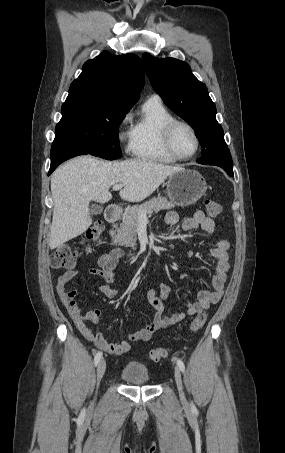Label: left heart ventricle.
Here are the masks:
<instances>
[{
	"instance_id": "1",
	"label": "left heart ventricle",
	"mask_w": 285,
	"mask_h": 453,
	"mask_svg": "<svg viewBox=\"0 0 285 453\" xmlns=\"http://www.w3.org/2000/svg\"><path fill=\"white\" fill-rule=\"evenodd\" d=\"M173 145L181 155H190L195 150V140L191 132L184 126H178L173 135Z\"/></svg>"
}]
</instances>
